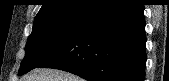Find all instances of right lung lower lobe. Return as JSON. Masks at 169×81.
<instances>
[{
    "instance_id": "1",
    "label": "right lung lower lobe",
    "mask_w": 169,
    "mask_h": 81,
    "mask_svg": "<svg viewBox=\"0 0 169 81\" xmlns=\"http://www.w3.org/2000/svg\"><path fill=\"white\" fill-rule=\"evenodd\" d=\"M144 5L122 0L88 19L38 67L61 69L88 81H144Z\"/></svg>"
}]
</instances>
